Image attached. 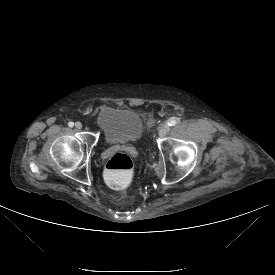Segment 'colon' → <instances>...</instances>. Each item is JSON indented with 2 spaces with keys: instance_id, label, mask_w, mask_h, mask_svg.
<instances>
[{
  "instance_id": "colon-1",
  "label": "colon",
  "mask_w": 275,
  "mask_h": 275,
  "mask_svg": "<svg viewBox=\"0 0 275 275\" xmlns=\"http://www.w3.org/2000/svg\"><path fill=\"white\" fill-rule=\"evenodd\" d=\"M134 163L132 158L123 152L110 156L105 164V179L116 187L127 186L133 175Z\"/></svg>"
}]
</instances>
